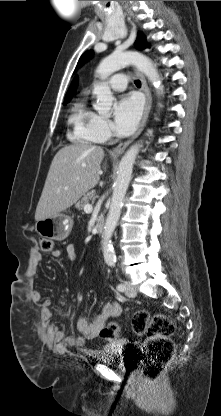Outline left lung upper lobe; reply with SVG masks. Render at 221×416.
<instances>
[{"instance_id": "left-lung-upper-lobe-1", "label": "left lung upper lobe", "mask_w": 221, "mask_h": 416, "mask_svg": "<svg viewBox=\"0 0 221 416\" xmlns=\"http://www.w3.org/2000/svg\"><path fill=\"white\" fill-rule=\"evenodd\" d=\"M135 47L139 50L145 49L147 47V42L145 40V38L140 35L139 38L136 40L135 42ZM92 55V51H87L86 53H84L79 62L78 65L82 64L83 62H85L87 59H89Z\"/></svg>"}]
</instances>
